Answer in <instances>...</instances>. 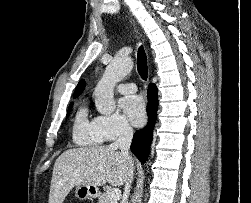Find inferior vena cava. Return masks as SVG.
Here are the masks:
<instances>
[{"instance_id": "obj_1", "label": "inferior vena cava", "mask_w": 251, "mask_h": 203, "mask_svg": "<svg viewBox=\"0 0 251 203\" xmlns=\"http://www.w3.org/2000/svg\"><path fill=\"white\" fill-rule=\"evenodd\" d=\"M133 138V129L129 126L127 122H124L119 131L118 139L111 144L112 148L120 149L121 153L126 157V159L132 161V157L129 154L130 145ZM133 180V166L130 165L127 180L125 182L124 193L122 203H126L128 196L130 194V187Z\"/></svg>"}]
</instances>
